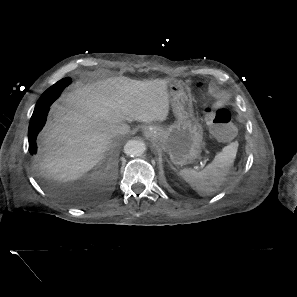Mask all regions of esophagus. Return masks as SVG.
<instances>
[{
	"label": "esophagus",
	"instance_id": "obj_1",
	"mask_svg": "<svg viewBox=\"0 0 297 297\" xmlns=\"http://www.w3.org/2000/svg\"><path fill=\"white\" fill-rule=\"evenodd\" d=\"M143 133L146 137H152L156 134V131L152 128L145 127Z\"/></svg>",
	"mask_w": 297,
	"mask_h": 297
}]
</instances>
